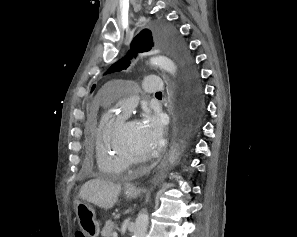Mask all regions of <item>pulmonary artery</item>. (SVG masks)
Masks as SVG:
<instances>
[{
    "label": "pulmonary artery",
    "mask_w": 297,
    "mask_h": 237,
    "mask_svg": "<svg viewBox=\"0 0 297 237\" xmlns=\"http://www.w3.org/2000/svg\"><path fill=\"white\" fill-rule=\"evenodd\" d=\"M162 89L163 86L159 77L149 76L144 78L142 83V91L144 93H154ZM138 94L139 90L133 89L131 86H124L119 90V98L116 104L124 116H126L131 109L136 106L139 99Z\"/></svg>",
    "instance_id": "e3ab8cb5"
}]
</instances>
